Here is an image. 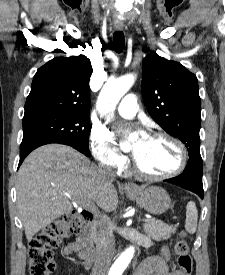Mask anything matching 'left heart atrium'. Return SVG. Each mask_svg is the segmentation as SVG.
Masks as SVG:
<instances>
[{"mask_svg":"<svg viewBox=\"0 0 225 275\" xmlns=\"http://www.w3.org/2000/svg\"><path fill=\"white\" fill-rule=\"evenodd\" d=\"M140 135H141V138H140L141 140L147 138V135L145 133H143V132H141Z\"/></svg>","mask_w":225,"mask_h":275,"instance_id":"1","label":"left heart atrium"}]
</instances>
